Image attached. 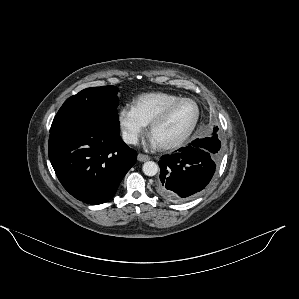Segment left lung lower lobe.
I'll use <instances>...</instances> for the list:
<instances>
[{"label":"left lung lower lobe","mask_w":299,"mask_h":299,"mask_svg":"<svg viewBox=\"0 0 299 299\" xmlns=\"http://www.w3.org/2000/svg\"><path fill=\"white\" fill-rule=\"evenodd\" d=\"M220 159V151L209 137L194 140L190 146L163 156L159 161L158 194L181 203L199 195L210 183Z\"/></svg>","instance_id":"obj_1"}]
</instances>
